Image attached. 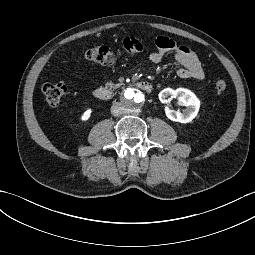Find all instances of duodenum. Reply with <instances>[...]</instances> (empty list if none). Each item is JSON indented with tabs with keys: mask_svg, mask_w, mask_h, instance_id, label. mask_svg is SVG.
I'll use <instances>...</instances> for the list:
<instances>
[{
	"mask_svg": "<svg viewBox=\"0 0 255 255\" xmlns=\"http://www.w3.org/2000/svg\"><path fill=\"white\" fill-rule=\"evenodd\" d=\"M136 86L145 92H151L152 90V84L148 81H138ZM93 96L99 100L107 101L113 98L114 93L109 88L100 87L93 91Z\"/></svg>",
	"mask_w": 255,
	"mask_h": 255,
	"instance_id": "1",
	"label": "duodenum"
}]
</instances>
